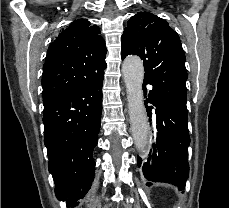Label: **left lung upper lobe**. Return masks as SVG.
<instances>
[{
	"label": "left lung upper lobe",
	"mask_w": 229,
	"mask_h": 208,
	"mask_svg": "<svg viewBox=\"0 0 229 208\" xmlns=\"http://www.w3.org/2000/svg\"><path fill=\"white\" fill-rule=\"evenodd\" d=\"M121 43L122 59L135 54L143 60L144 83L187 110L186 58L180 38L169 24L150 12H138L128 21Z\"/></svg>",
	"instance_id": "left-lung-upper-lobe-1"
}]
</instances>
